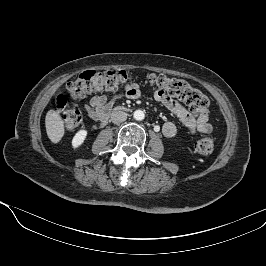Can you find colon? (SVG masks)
<instances>
[{"instance_id":"obj_1","label":"colon","mask_w":266,"mask_h":266,"mask_svg":"<svg viewBox=\"0 0 266 266\" xmlns=\"http://www.w3.org/2000/svg\"><path fill=\"white\" fill-rule=\"evenodd\" d=\"M131 79V74L125 70L85 71L80 73L74 81L68 83V95L60 93L56 97V107L59 110H63L67 106L68 96L73 101L63 113L65 128L74 130L82 123V113L75 103L77 100L97 91L118 90L128 86ZM147 80L156 90L184 101L191 112L197 114L208 113L209 100L207 96L186 80L157 74H149ZM195 150L204 156L211 155L214 151V140L211 137L198 140L195 144Z\"/></svg>"}]
</instances>
